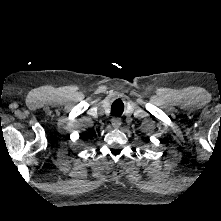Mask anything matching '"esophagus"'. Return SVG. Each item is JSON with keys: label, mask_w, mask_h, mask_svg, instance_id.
<instances>
[{"label": "esophagus", "mask_w": 221, "mask_h": 221, "mask_svg": "<svg viewBox=\"0 0 221 221\" xmlns=\"http://www.w3.org/2000/svg\"><path fill=\"white\" fill-rule=\"evenodd\" d=\"M111 123L115 129H118L121 126V119L118 117H114L111 119Z\"/></svg>", "instance_id": "34e87169"}]
</instances>
